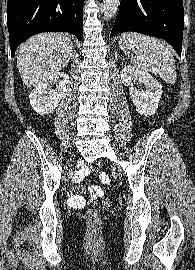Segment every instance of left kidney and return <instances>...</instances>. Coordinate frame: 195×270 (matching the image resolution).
I'll return each instance as SVG.
<instances>
[{
  "label": "left kidney",
  "mask_w": 195,
  "mask_h": 270,
  "mask_svg": "<svg viewBox=\"0 0 195 270\" xmlns=\"http://www.w3.org/2000/svg\"><path fill=\"white\" fill-rule=\"evenodd\" d=\"M122 83L129 87L132 101L136 111L141 115H154L162 95V85L148 72L128 65L122 69L120 74ZM139 81L145 85L144 90L136 89L133 81Z\"/></svg>",
  "instance_id": "left-kidney-1"
}]
</instances>
